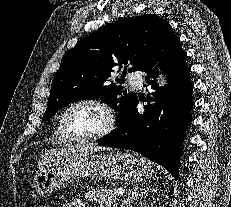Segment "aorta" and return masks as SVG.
Masks as SVG:
<instances>
[{"label":"aorta","mask_w":231,"mask_h":207,"mask_svg":"<svg viewBox=\"0 0 231 207\" xmlns=\"http://www.w3.org/2000/svg\"><path fill=\"white\" fill-rule=\"evenodd\" d=\"M160 84H161L162 86L165 85V78H164V76L161 77V82H160Z\"/></svg>","instance_id":"aorta-1"}]
</instances>
